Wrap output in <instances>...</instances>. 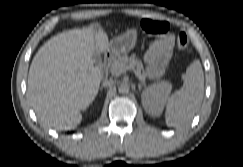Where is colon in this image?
I'll list each match as a JSON object with an SVG mask.
<instances>
[{
	"label": "colon",
	"mask_w": 243,
	"mask_h": 167,
	"mask_svg": "<svg viewBox=\"0 0 243 167\" xmlns=\"http://www.w3.org/2000/svg\"><path fill=\"white\" fill-rule=\"evenodd\" d=\"M141 28L148 35H160L168 30L169 25L166 21L161 19L145 18L141 21ZM177 46L182 52L188 50V38L186 33H178Z\"/></svg>",
	"instance_id": "1"
}]
</instances>
